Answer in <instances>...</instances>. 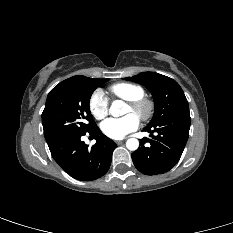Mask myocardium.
<instances>
[{
	"label": "myocardium",
	"mask_w": 233,
	"mask_h": 233,
	"mask_svg": "<svg viewBox=\"0 0 233 233\" xmlns=\"http://www.w3.org/2000/svg\"><path fill=\"white\" fill-rule=\"evenodd\" d=\"M127 106L142 121L150 120L155 110L153 100L145 96L128 101Z\"/></svg>",
	"instance_id": "obj_1"
}]
</instances>
